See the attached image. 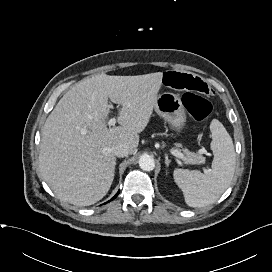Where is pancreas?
Returning <instances> with one entry per match:
<instances>
[{
	"instance_id": "obj_1",
	"label": "pancreas",
	"mask_w": 272,
	"mask_h": 272,
	"mask_svg": "<svg viewBox=\"0 0 272 272\" xmlns=\"http://www.w3.org/2000/svg\"><path fill=\"white\" fill-rule=\"evenodd\" d=\"M177 147H181V145L177 144ZM182 151L185 153V157H186V162L190 163V164H201L205 162V157L202 156L199 153H193L190 152L187 149H182Z\"/></svg>"
}]
</instances>
